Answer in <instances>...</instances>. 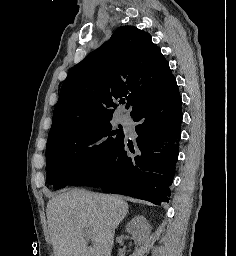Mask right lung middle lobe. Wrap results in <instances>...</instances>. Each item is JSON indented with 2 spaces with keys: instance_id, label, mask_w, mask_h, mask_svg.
Instances as JSON below:
<instances>
[{
  "instance_id": "obj_1",
  "label": "right lung middle lobe",
  "mask_w": 236,
  "mask_h": 256,
  "mask_svg": "<svg viewBox=\"0 0 236 256\" xmlns=\"http://www.w3.org/2000/svg\"><path fill=\"white\" fill-rule=\"evenodd\" d=\"M109 120L83 124L48 138L47 182L60 189L103 161L124 139L122 126L112 130Z\"/></svg>"
}]
</instances>
